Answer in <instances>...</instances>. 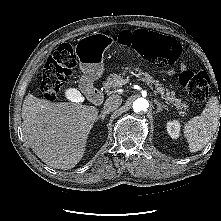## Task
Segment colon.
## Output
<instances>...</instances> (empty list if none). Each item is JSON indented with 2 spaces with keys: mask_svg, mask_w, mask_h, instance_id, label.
<instances>
[{
  "mask_svg": "<svg viewBox=\"0 0 221 221\" xmlns=\"http://www.w3.org/2000/svg\"><path fill=\"white\" fill-rule=\"evenodd\" d=\"M115 40L120 46H132L139 55L161 68L174 66L181 55V46L175 39L144 29L122 31L116 35ZM76 64V55L69 43H63L52 51L45 64L41 81V91L46 100H56ZM180 82L194 101L206 100L210 79L205 72L183 71Z\"/></svg>",
  "mask_w": 221,
  "mask_h": 221,
  "instance_id": "5ec220e1",
  "label": "colon"
}]
</instances>
